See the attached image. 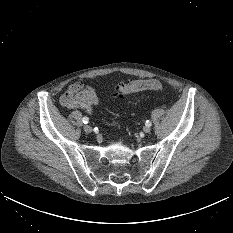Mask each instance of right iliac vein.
<instances>
[{"mask_svg":"<svg viewBox=\"0 0 233 233\" xmlns=\"http://www.w3.org/2000/svg\"><path fill=\"white\" fill-rule=\"evenodd\" d=\"M84 131H85L86 133H91V132H92V127H91L90 125L86 124V125L84 126Z\"/></svg>","mask_w":233,"mask_h":233,"instance_id":"1","label":"right iliac vein"}]
</instances>
